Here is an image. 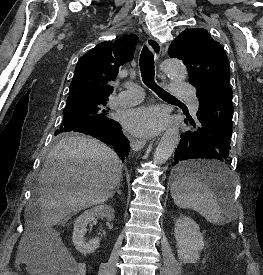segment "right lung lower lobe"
Returning a JSON list of instances; mask_svg holds the SVG:
<instances>
[{"label": "right lung lower lobe", "mask_w": 263, "mask_h": 275, "mask_svg": "<svg viewBox=\"0 0 263 275\" xmlns=\"http://www.w3.org/2000/svg\"><path fill=\"white\" fill-rule=\"evenodd\" d=\"M73 132H79L90 135L100 141L112 145L122 162L128 157L130 151L129 140L124 136L118 122L110 120L101 127H79L73 129Z\"/></svg>", "instance_id": "right-lung-lower-lobe-1"}]
</instances>
